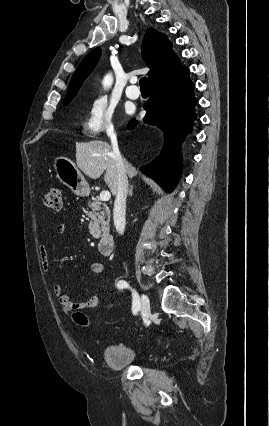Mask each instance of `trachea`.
<instances>
[{"label": "trachea", "mask_w": 269, "mask_h": 426, "mask_svg": "<svg viewBox=\"0 0 269 426\" xmlns=\"http://www.w3.org/2000/svg\"><path fill=\"white\" fill-rule=\"evenodd\" d=\"M139 85H140V88L148 89L149 86H148V79H147V77H142L140 79V81H139Z\"/></svg>", "instance_id": "obj_1"}]
</instances>
